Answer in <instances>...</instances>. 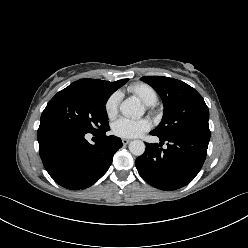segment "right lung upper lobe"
Here are the masks:
<instances>
[{
    "label": "right lung upper lobe",
    "mask_w": 248,
    "mask_h": 248,
    "mask_svg": "<svg viewBox=\"0 0 248 248\" xmlns=\"http://www.w3.org/2000/svg\"><path fill=\"white\" fill-rule=\"evenodd\" d=\"M127 79H122L115 82L103 81L98 79H81L73 82L71 87H76L79 89H84L96 93H110L112 94L123 84H125Z\"/></svg>",
    "instance_id": "cb5924a9"
}]
</instances>
